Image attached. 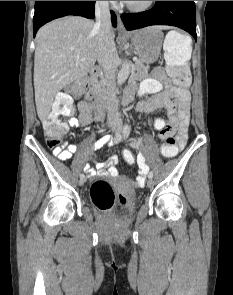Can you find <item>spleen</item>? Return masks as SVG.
Instances as JSON below:
<instances>
[{
    "instance_id": "spleen-1",
    "label": "spleen",
    "mask_w": 233,
    "mask_h": 295,
    "mask_svg": "<svg viewBox=\"0 0 233 295\" xmlns=\"http://www.w3.org/2000/svg\"><path fill=\"white\" fill-rule=\"evenodd\" d=\"M192 40L177 31H170L163 44L164 58L168 65H184L191 58Z\"/></svg>"
}]
</instances>
